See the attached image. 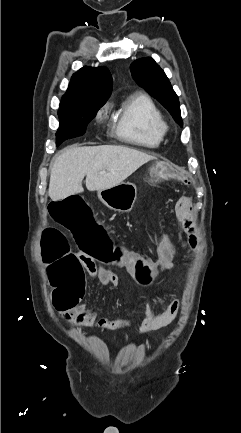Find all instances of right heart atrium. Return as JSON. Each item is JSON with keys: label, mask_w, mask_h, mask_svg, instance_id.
<instances>
[{"label": "right heart atrium", "mask_w": 241, "mask_h": 433, "mask_svg": "<svg viewBox=\"0 0 241 433\" xmlns=\"http://www.w3.org/2000/svg\"><path fill=\"white\" fill-rule=\"evenodd\" d=\"M101 115H102V111H100V112L98 113V117H101Z\"/></svg>", "instance_id": "obj_1"}]
</instances>
